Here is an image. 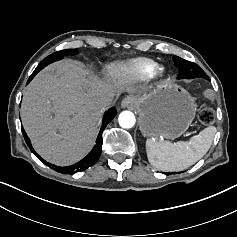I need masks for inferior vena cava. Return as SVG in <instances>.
<instances>
[{
	"label": "inferior vena cava",
	"instance_id": "inferior-vena-cava-1",
	"mask_svg": "<svg viewBox=\"0 0 237 237\" xmlns=\"http://www.w3.org/2000/svg\"><path fill=\"white\" fill-rule=\"evenodd\" d=\"M114 94L110 93V94H105L100 96L99 98V104L102 108L108 107L111 105L112 100H113Z\"/></svg>",
	"mask_w": 237,
	"mask_h": 237
}]
</instances>
